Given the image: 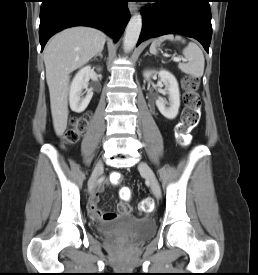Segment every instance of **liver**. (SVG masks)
<instances>
[{
    "label": "liver",
    "mask_w": 258,
    "mask_h": 275,
    "mask_svg": "<svg viewBox=\"0 0 258 275\" xmlns=\"http://www.w3.org/2000/svg\"><path fill=\"white\" fill-rule=\"evenodd\" d=\"M105 41L106 35L100 30L72 27L58 33L47 43L44 63L57 136H62L67 127L70 73L102 51Z\"/></svg>",
    "instance_id": "liver-1"
}]
</instances>
